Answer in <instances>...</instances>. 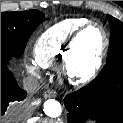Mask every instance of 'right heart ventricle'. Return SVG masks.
<instances>
[{"label":"right heart ventricle","mask_w":123,"mask_h":123,"mask_svg":"<svg viewBox=\"0 0 123 123\" xmlns=\"http://www.w3.org/2000/svg\"><path fill=\"white\" fill-rule=\"evenodd\" d=\"M87 21L85 18L66 19L45 30L33 48L35 62L43 68L63 64L72 37Z\"/></svg>","instance_id":"obj_1"}]
</instances>
